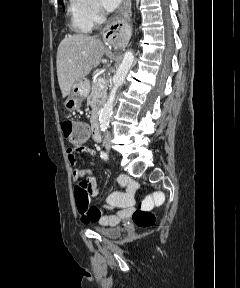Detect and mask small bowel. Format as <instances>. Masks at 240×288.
<instances>
[{
    "label": "small bowel",
    "instance_id": "obj_1",
    "mask_svg": "<svg viewBox=\"0 0 240 288\" xmlns=\"http://www.w3.org/2000/svg\"><path fill=\"white\" fill-rule=\"evenodd\" d=\"M86 138L84 141L74 144L73 148L67 150L68 160L71 165L76 163V153H84L88 156L95 155V150L85 146L89 132L86 126ZM73 179L84 178L75 185V201L81 220L88 223H100L105 225H116L122 218L129 216L134 205L135 186L127 179L120 178V184L127 186L126 192L115 191L107 199L103 207L90 206L89 200L99 194V184L96 173L91 168H76L72 172ZM111 208H119L113 215H106L105 211Z\"/></svg>",
    "mask_w": 240,
    "mask_h": 288
}]
</instances>
